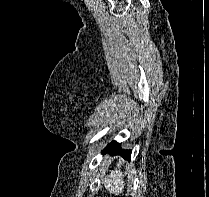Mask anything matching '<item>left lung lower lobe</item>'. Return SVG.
I'll return each instance as SVG.
<instances>
[{
    "label": "left lung lower lobe",
    "instance_id": "0a47b994",
    "mask_svg": "<svg viewBox=\"0 0 209 197\" xmlns=\"http://www.w3.org/2000/svg\"><path fill=\"white\" fill-rule=\"evenodd\" d=\"M108 151L110 154H119L121 155L124 159H129L131 156V150H123L120 147V143H117L116 141L111 142L108 144L103 152Z\"/></svg>",
    "mask_w": 209,
    "mask_h": 197
}]
</instances>
